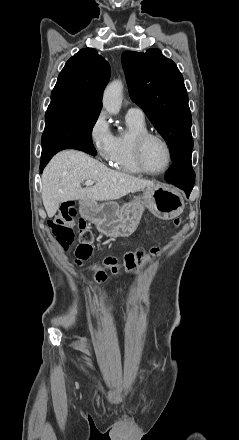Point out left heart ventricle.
I'll list each match as a JSON object with an SVG mask.
<instances>
[{"label": "left heart ventricle", "instance_id": "1", "mask_svg": "<svg viewBox=\"0 0 239 440\" xmlns=\"http://www.w3.org/2000/svg\"><path fill=\"white\" fill-rule=\"evenodd\" d=\"M144 160L149 170L159 172L168 163V153L165 145L158 139H150L144 148Z\"/></svg>", "mask_w": 239, "mask_h": 440}]
</instances>
